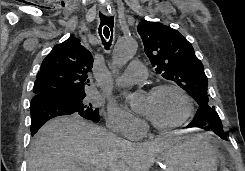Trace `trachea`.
Returning a JSON list of instances; mask_svg holds the SVG:
<instances>
[{"label":"trachea","mask_w":245,"mask_h":171,"mask_svg":"<svg viewBox=\"0 0 245 171\" xmlns=\"http://www.w3.org/2000/svg\"><path fill=\"white\" fill-rule=\"evenodd\" d=\"M100 25H99V35L104 40L103 44L106 49H109L112 42L113 26L114 20L112 16H106L99 13Z\"/></svg>","instance_id":"3493384b"}]
</instances>
